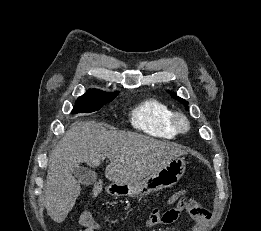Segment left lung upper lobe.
<instances>
[{
	"label": "left lung upper lobe",
	"mask_w": 261,
	"mask_h": 231,
	"mask_svg": "<svg viewBox=\"0 0 261 231\" xmlns=\"http://www.w3.org/2000/svg\"><path fill=\"white\" fill-rule=\"evenodd\" d=\"M171 96H172L173 98H175V99H178V100H179L182 104H184L186 107L188 106V102L185 101V100H183L182 98L177 97L175 93H171Z\"/></svg>",
	"instance_id": "1"
}]
</instances>
